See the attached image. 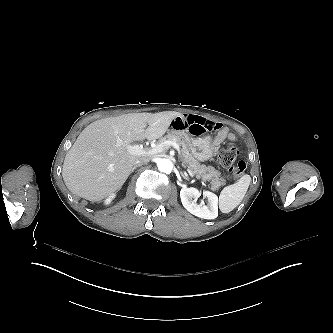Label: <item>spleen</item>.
Wrapping results in <instances>:
<instances>
[{"label": "spleen", "mask_w": 333, "mask_h": 333, "mask_svg": "<svg viewBox=\"0 0 333 333\" xmlns=\"http://www.w3.org/2000/svg\"><path fill=\"white\" fill-rule=\"evenodd\" d=\"M250 183L251 176L249 174H245L233 185L225 187L219 195V210L222 213H229L233 211L242 202L248 191Z\"/></svg>", "instance_id": "spleen-1"}]
</instances>
